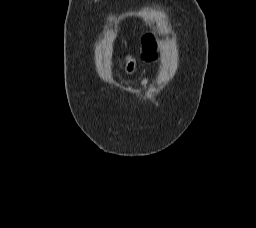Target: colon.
<instances>
[{
    "mask_svg": "<svg viewBox=\"0 0 256 228\" xmlns=\"http://www.w3.org/2000/svg\"><path fill=\"white\" fill-rule=\"evenodd\" d=\"M143 56L148 59L156 57V44L152 36H145L142 39Z\"/></svg>",
    "mask_w": 256,
    "mask_h": 228,
    "instance_id": "obj_1",
    "label": "colon"
}]
</instances>
